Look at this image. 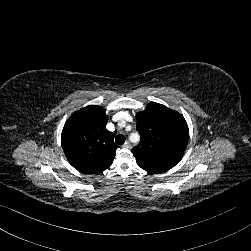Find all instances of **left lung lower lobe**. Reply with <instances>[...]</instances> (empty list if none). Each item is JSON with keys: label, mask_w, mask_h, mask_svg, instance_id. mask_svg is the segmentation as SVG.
<instances>
[{"label": "left lung lower lobe", "mask_w": 251, "mask_h": 251, "mask_svg": "<svg viewBox=\"0 0 251 251\" xmlns=\"http://www.w3.org/2000/svg\"><path fill=\"white\" fill-rule=\"evenodd\" d=\"M137 164L144 170L150 172V173H161V172H164V171H167L163 168H160V167H154V166H151V165H147V164H143V163H139L137 162Z\"/></svg>", "instance_id": "left-lung-lower-lobe-1"}]
</instances>
